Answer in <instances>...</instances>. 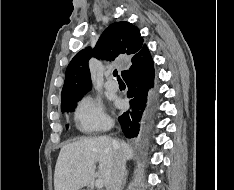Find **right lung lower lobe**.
Masks as SVG:
<instances>
[{
    "instance_id": "98d812e1",
    "label": "right lung lower lobe",
    "mask_w": 234,
    "mask_h": 190,
    "mask_svg": "<svg viewBox=\"0 0 234 190\" xmlns=\"http://www.w3.org/2000/svg\"><path fill=\"white\" fill-rule=\"evenodd\" d=\"M122 77L128 85L130 108L118 120L124 135L133 138L139 133V121L146 106L148 90L153 87L154 82V65L148 48L136 57Z\"/></svg>"
}]
</instances>
